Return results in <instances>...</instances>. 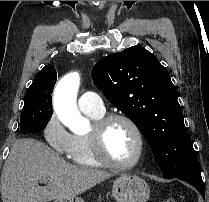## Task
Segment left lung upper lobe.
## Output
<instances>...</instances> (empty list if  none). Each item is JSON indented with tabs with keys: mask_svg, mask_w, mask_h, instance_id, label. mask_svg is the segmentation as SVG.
Segmentation results:
<instances>
[{
	"mask_svg": "<svg viewBox=\"0 0 209 202\" xmlns=\"http://www.w3.org/2000/svg\"><path fill=\"white\" fill-rule=\"evenodd\" d=\"M92 78L107 100L141 131L164 177L199 165L176 89L152 53L133 46L108 55L94 65Z\"/></svg>",
	"mask_w": 209,
	"mask_h": 202,
	"instance_id": "1",
	"label": "left lung upper lobe"
}]
</instances>
